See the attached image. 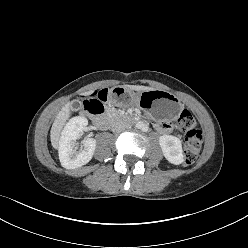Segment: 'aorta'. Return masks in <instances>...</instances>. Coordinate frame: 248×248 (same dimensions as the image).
<instances>
[{
  "label": "aorta",
  "mask_w": 248,
  "mask_h": 248,
  "mask_svg": "<svg viewBox=\"0 0 248 248\" xmlns=\"http://www.w3.org/2000/svg\"><path fill=\"white\" fill-rule=\"evenodd\" d=\"M137 128L141 129L142 131H147L148 130V126L143 122H138L137 123Z\"/></svg>",
  "instance_id": "obj_1"
}]
</instances>
